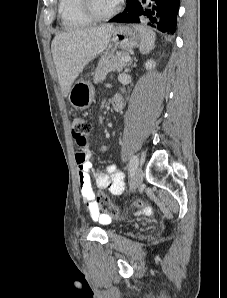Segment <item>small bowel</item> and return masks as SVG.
Here are the masks:
<instances>
[{"mask_svg":"<svg viewBox=\"0 0 227 298\" xmlns=\"http://www.w3.org/2000/svg\"><path fill=\"white\" fill-rule=\"evenodd\" d=\"M75 157L80 192L86 208L93 219L106 222L110 218L100 212L99 205L95 201L91 176H94L99 189L108 190L110 194L118 196L124 190L123 174L117 171L114 165L107 166L105 172L97 171L94 166L93 156L88 149L77 151Z\"/></svg>","mask_w":227,"mask_h":298,"instance_id":"obj_1","label":"small bowel"}]
</instances>
